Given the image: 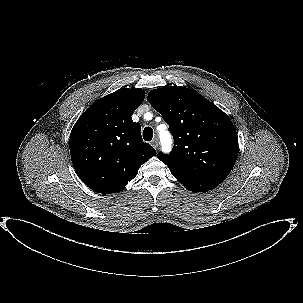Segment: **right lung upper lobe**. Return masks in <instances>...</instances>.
<instances>
[{
  "label": "right lung upper lobe",
  "mask_w": 303,
  "mask_h": 303,
  "mask_svg": "<svg viewBox=\"0 0 303 303\" xmlns=\"http://www.w3.org/2000/svg\"><path fill=\"white\" fill-rule=\"evenodd\" d=\"M144 96L142 89L121 88L94 102L75 123L69 141L71 159L90 189L102 194L121 191L156 155L143 142L140 124L131 118Z\"/></svg>",
  "instance_id": "right-lung-upper-lobe-1"
}]
</instances>
